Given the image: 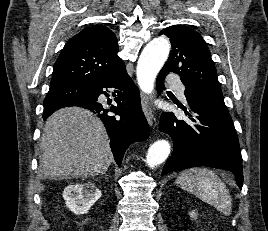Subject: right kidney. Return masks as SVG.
<instances>
[{
  "label": "right kidney",
  "mask_w": 268,
  "mask_h": 231,
  "mask_svg": "<svg viewBox=\"0 0 268 231\" xmlns=\"http://www.w3.org/2000/svg\"><path fill=\"white\" fill-rule=\"evenodd\" d=\"M101 195L93 183L71 184L63 191L66 206L76 215L87 214Z\"/></svg>",
  "instance_id": "right-kidney-1"
}]
</instances>
